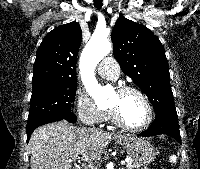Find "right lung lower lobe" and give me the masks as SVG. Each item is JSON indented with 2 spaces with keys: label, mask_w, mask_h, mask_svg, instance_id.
<instances>
[{
  "label": "right lung lower lobe",
  "mask_w": 200,
  "mask_h": 169,
  "mask_svg": "<svg viewBox=\"0 0 200 169\" xmlns=\"http://www.w3.org/2000/svg\"><path fill=\"white\" fill-rule=\"evenodd\" d=\"M62 119H65L69 121L70 123H75L77 120V117L74 113H71L69 115L60 116V115H48V116H38L28 119L27 121V141H29L30 136L32 132L39 126L43 124H47L50 122L60 121Z\"/></svg>",
  "instance_id": "1"
}]
</instances>
